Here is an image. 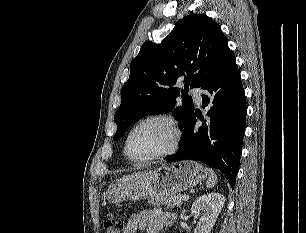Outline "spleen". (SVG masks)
<instances>
[{
  "label": "spleen",
  "instance_id": "3e777b00",
  "mask_svg": "<svg viewBox=\"0 0 306 233\" xmlns=\"http://www.w3.org/2000/svg\"><path fill=\"white\" fill-rule=\"evenodd\" d=\"M209 171V177H208V180L206 182V186L208 189L214 187L217 183V175L215 174L214 170L212 169H208Z\"/></svg>",
  "mask_w": 306,
  "mask_h": 233
}]
</instances>
